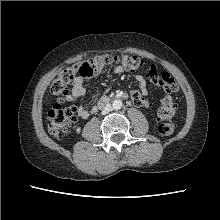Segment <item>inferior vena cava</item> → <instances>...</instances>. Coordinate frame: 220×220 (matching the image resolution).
Here are the masks:
<instances>
[{"instance_id": "obj_1", "label": "inferior vena cava", "mask_w": 220, "mask_h": 220, "mask_svg": "<svg viewBox=\"0 0 220 220\" xmlns=\"http://www.w3.org/2000/svg\"><path fill=\"white\" fill-rule=\"evenodd\" d=\"M112 107L110 104H106L105 107L102 110V114H107L111 111Z\"/></svg>"}]
</instances>
